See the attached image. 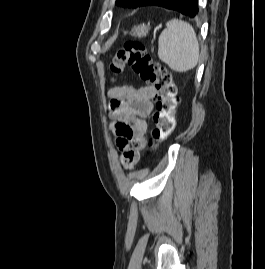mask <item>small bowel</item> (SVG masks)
Instances as JSON below:
<instances>
[{
  "instance_id": "obj_1",
  "label": "small bowel",
  "mask_w": 265,
  "mask_h": 269,
  "mask_svg": "<svg viewBox=\"0 0 265 269\" xmlns=\"http://www.w3.org/2000/svg\"><path fill=\"white\" fill-rule=\"evenodd\" d=\"M107 96L110 99L109 110L113 118L111 130L116 132V127L121 122L133 130L131 139L117 134L121 163L127 169H132L139 160L140 150L146 144L147 125L144 118L153 111L155 89L149 84L139 88L124 85L110 88Z\"/></svg>"
}]
</instances>
